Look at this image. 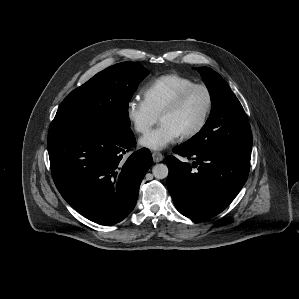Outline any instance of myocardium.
Masks as SVG:
<instances>
[{"instance_id":"myocardium-1","label":"myocardium","mask_w":299,"mask_h":299,"mask_svg":"<svg viewBox=\"0 0 299 299\" xmlns=\"http://www.w3.org/2000/svg\"><path fill=\"white\" fill-rule=\"evenodd\" d=\"M195 89H200L205 93L207 101L206 108L199 123L191 130L181 134L182 138L184 139L195 137L205 128L206 124L208 123L213 108V95L210 88L202 83H193L185 87L164 107V109L159 114L160 120L162 116L177 110L187 98V96Z\"/></svg>"}]
</instances>
